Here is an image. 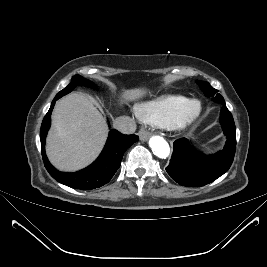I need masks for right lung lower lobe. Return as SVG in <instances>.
Returning a JSON list of instances; mask_svg holds the SVG:
<instances>
[{"instance_id":"1","label":"right lung lower lobe","mask_w":267,"mask_h":267,"mask_svg":"<svg viewBox=\"0 0 267 267\" xmlns=\"http://www.w3.org/2000/svg\"><path fill=\"white\" fill-rule=\"evenodd\" d=\"M59 98L60 97L56 96L52 101L51 107L43 119L40 130L42 157L47 171L58 182L76 189L90 190L105 185L111 180L120 167L124 152L133 143L138 141V136L134 134L122 135L118 131L112 129L109 132L108 140L102 153L93 164L76 173L60 172L50 164L44 148L45 138L51 123L52 109L55 105V101Z\"/></svg>"}]
</instances>
